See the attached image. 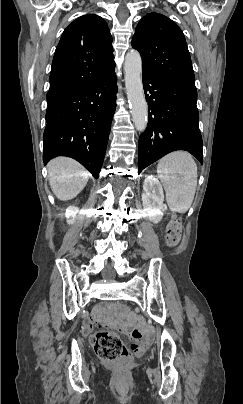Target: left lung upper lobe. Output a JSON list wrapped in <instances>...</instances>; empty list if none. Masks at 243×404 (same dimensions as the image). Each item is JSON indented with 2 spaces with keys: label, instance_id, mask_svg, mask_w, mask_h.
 Wrapping results in <instances>:
<instances>
[{
  "label": "left lung upper lobe",
  "instance_id": "left-lung-upper-lobe-1",
  "mask_svg": "<svg viewBox=\"0 0 243 404\" xmlns=\"http://www.w3.org/2000/svg\"><path fill=\"white\" fill-rule=\"evenodd\" d=\"M132 46L140 52L143 73L195 84L184 34L171 19L158 13L144 16L136 27Z\"/></svg>",
  "mask_w": 243,
  "mask_h": 404
}]
</instances>
